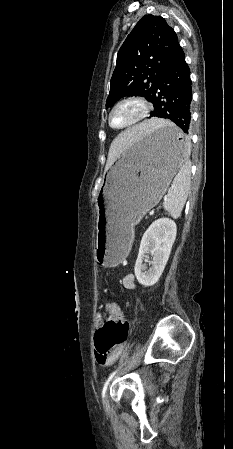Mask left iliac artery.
I'll use <instances>...</instances> for the list:
<instances>
[{
    "instance_id": "1",
    "label": "left iliac artery",
    "mask_w": 233,
    "mask_h": 449,
    "mask_svg": "<svg viewBox=\"0 0 233 449\" xmlns=\"http://www.w3.org/2000/svg\"><path fill=\"white\" fill-rule=\"evenodd\" d=\"M120 368H121V367H119V368L116 369L114 372H112V373L110 374V376L108 377V379L106 380V382H105V384H104V387H103V389H102V398L105 397V392H106V390H107V386H108L109 382H110V381L112 380V378L116 375V373L119 371Z\"/></svg>"
}]
</instances>
